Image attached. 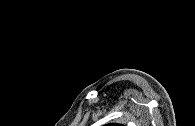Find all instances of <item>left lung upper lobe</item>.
<instances>
[{
  "instance_id": "5c2ea615",
  "label": "left lung upper lobe",
  "mask_w": 195,
  "mask_h": 126,
  "mask_svg": "<svg viewBox=\"0 0 195 126\" xmlns=\"http://www.w3.org/2000/svg\"><path fill=\"white\" fill-rule=\"evenodd\" d=\"M107 126H123V125H120V124H109Z\"/></svg>"
}]
</instances>
